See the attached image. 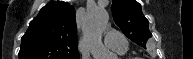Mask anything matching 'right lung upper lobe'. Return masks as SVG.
Listing matches in <instances>:
<instances>
[{
	"instance_id": "cb5924a9",
	"label": "right lung upper lobe",
	"mask_w": 193,
	"mask_h": 59,
	"mask_svg": "<svg viewBox=\"0 0 193 59\" xmlns=\"http://www.w3.org/2000/svg\"><path fill=\"white\" fill-rule=\"evenodd\" d=\"M75 9L50 1L22 37L19 59H79Z\"/></svg>"
}]
</instances>
